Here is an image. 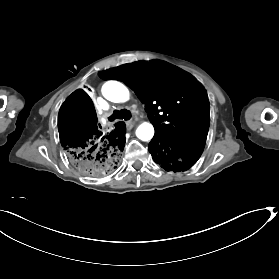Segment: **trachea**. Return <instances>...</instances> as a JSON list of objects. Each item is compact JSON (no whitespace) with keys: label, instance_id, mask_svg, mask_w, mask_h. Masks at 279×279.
I'll return each mask as SVG.
<instances>
[{"label":"trachea","instance_id":"trachea-1","mask_svg":"<svg viewBox=\"0 0 279 279\" xmlns=\"http://www.w3.org/2000/svg\"><path fill=\"white\" fill-rule=\"evenodd\" d=\"M131 118V112L127 109L115 110L113 114L108 118L110 122L116 119L129 120Z\"/></svg>","mask_w":279,"mask_h":279}]
</instances>
